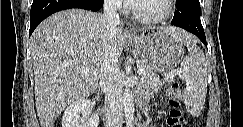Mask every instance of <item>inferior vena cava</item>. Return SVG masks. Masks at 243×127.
<instances>
[{"instance_id":"602c4592","label":"inferior vena cava","mask_w":243,"mask_h":127,"mask_svg":"<svg viewBox=\"0 0 243 127\" xmlns=\"http://www.w3.org/2000/svg\"><path fill=\"white\" fill-rule=\"evenodd\" d=\"M121 0H105L103 16L108 21L111 30L120 24L118 8ZM99 83L105 93V116L107 127H121L123 122L122 77L118 64V55L109 47L99 76Z\"/></svg>"}]
</instances>
